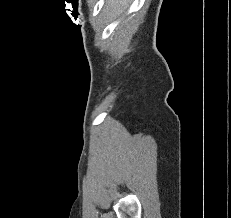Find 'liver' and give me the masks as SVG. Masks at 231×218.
<instances>
[{
  "mask_svg": "<svg viewBox=\"0 0 231 218\" xmlns=\"http://www.w3.org/2000/svg\"><path fill=\"white\" fill-rule=\"evenodd\" d=\"M128 0H108L105 4V11L112 19L119 16L128 6Z\"/></svg>",
  "mask_w": 231,
  "mask_h": 218,
  "instance_id": "1",
  "label": "liver"
}]
</instances>
